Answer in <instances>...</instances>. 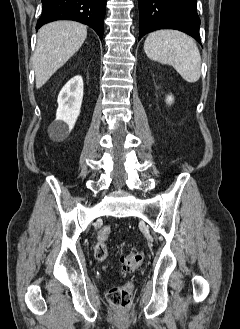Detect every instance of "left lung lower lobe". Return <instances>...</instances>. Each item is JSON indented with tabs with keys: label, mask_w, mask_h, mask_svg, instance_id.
Instances as JSON below:
<instances>
[{
	"label": "left lung lower lobe",
	"mask_w": 240,
	"mask_h": 329,
	"mask_svg": "<svg viewBox=\"0 0 240 329\" xmlns=\"http://www.w3.org/2000/svg\"><path fill=\"white\" fill-rule=\"evenodd\" d=\"M139 40L158 29H176L187 33L200 44V19L196 0H138Z\"/></svg>",
	"instance_id": "left-lung-lower-lobe-1"
}]
</instances>
